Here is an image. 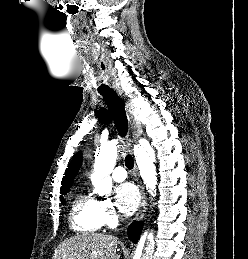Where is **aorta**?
I'll use <instances>...</instances> for the list:
<instances>
[{
    "label": "aorta",
    "mask_w": 248,
    "mask_h": 259,
    "mask_svg": "<svg viewBox=\"0 0 248 259\" xmlns=\"http://www.w3.org/2000/svg\"><path fill=\"white\" fill-rule=\"evenodd\" d=\"M118 141L114 140L102 145L98 156L95 159L94 172L91 175V181L94 191L100 196L107 195L112 190V172L117 158ZM134 155L139 167L140 175L146 184L149 192L155 196L157 184V172L155 166V153L147 141H142V145H137L134 149ZM154 252V238L150 233L148 242L144 251L138 247L134 259H152Z\"/></svg>",
    "instance_id": "aorta-1"
}]
</instances>
